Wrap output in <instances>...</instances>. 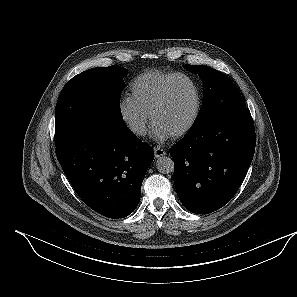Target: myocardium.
<instances>
[{"label":"myocardium","instance_id":"f54148a6","mask_svg":"<svg viewBox=\"0 0 297 297\" xmlns=\"http://www.w3.org/2000/svg\"><path fill=\"white\" fill-rule=\"evenodd\" d=\"M180 80L188 81L191 84V86L193 87L194 92H195V106H194L193 113H192L189 121L181 129H179L178 131H176L175 133L170 135L174 139L180 138V137L186 135L194 127V125L199 117V114H200L202 97H201L200 89L193 78H191L190 76H188L186 74H177L175 77H173L165 85L161 94L159 95V97L157 98V100L155 101L153 106L151 107L149 114H148L150 123L153 126V119H154L155 114L164 106V104L166 103V101L169 97L171 88L174 86V84L176 82H178Z\"/></svg>","mask_w":297,"mask_h":297}]
</instances>
